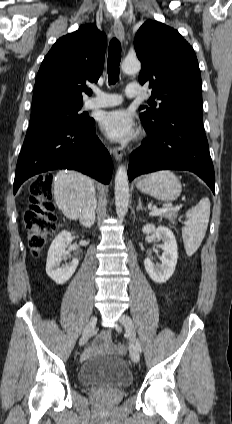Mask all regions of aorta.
Returning a JSON list of instances; mask_svg holds the SVG:
<instances>
[{
  "label": "aorta",
  "instance_id": "762f6f07",
  "mask_svg": "<svg viewBox=\"0 0 232 424\" xmlns=\"http://www.w3.org/2000/svg\"><path fill=\"white\" fill-rule=\"evenodd\" d=\"M121 69L126 74H136L141 70V63L136 58H125ZM129 183L127 170L124 165L119 166L115 176V205L118 218L125 217L129 206Z\"/></svg>",
  "mask_w": 232,
  "mask_h": 424
}]
</instances>
